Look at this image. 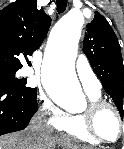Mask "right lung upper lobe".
<instances>
[{"mask_svg":"<svg viewBox=\"0 0 124 149\" xmlns=\"http://www.w3.org/2000/svg\"><path fill=\"white\" fill-rule=\"evenodd\" d=\"M51 18L36 0H16L0 11V67L20 69V56H30L42 44Z\"/></svg>","mask_w":124,"mask_h":149,"instance_id":"right-lung-upper-lobe-1","label":"right lung upper lobe"}]
</instances>
